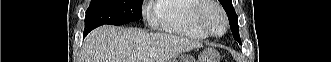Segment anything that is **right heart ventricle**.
<instances>
[{
    "mask_svg": "<svg viewBox=\"0 0 331 62\" xmlns=\"http://www.w3.org/2000/svg\"><path fill=\"white\" fill-rule=\"evenodd\" d=\"M202 3L203 0H160L153 9L152 16L166 32L204 40L209 35L195 21L196 11Z\"/></svg>",
    "mask_w": 331,
    "mask_h": 62,
    "instance_id": "right-heart-ventricle-1",
    "label": "right heart ventricle"
}]
</instances>
